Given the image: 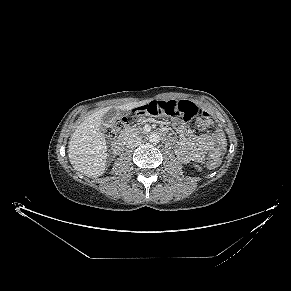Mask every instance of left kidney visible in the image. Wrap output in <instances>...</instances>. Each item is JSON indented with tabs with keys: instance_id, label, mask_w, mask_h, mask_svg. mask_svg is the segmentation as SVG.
<instances>
[{
	"instance_id": "obj_1",
	"label": "left kidney",
	"mask_w": 291,
	"mask_h": 291,
	"mask_svg": "<svg viewBox=\"0 0 291 291\" xmlns=\"http://www.w3.org/2000/svg\"><path fill=\"white\" fill-rule=\"evenodd\" d=\"M195 167H196V169H197L198 171H201V170H202V168H201L199 165H195Z\"/></svg>"
}]
</instances>
